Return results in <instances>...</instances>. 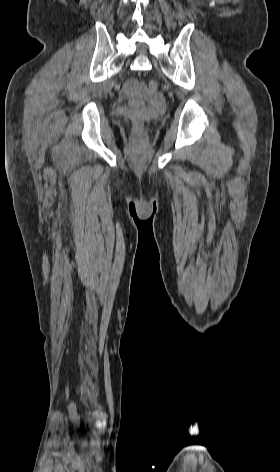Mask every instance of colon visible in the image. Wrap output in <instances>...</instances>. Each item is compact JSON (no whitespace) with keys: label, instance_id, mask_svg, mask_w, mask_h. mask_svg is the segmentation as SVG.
<instances>
[{"label":"colon","instance_id":"obj_1","mask_svg":"<svg viewBox=\"0 0 280 472\" xmlns=\"http://www.w3.org/2000/svg\"><path fill=\"white\" fill-rule=\"evenodd\" d=\"M158 88V84L156 81H150L148 83V89L150 91H156ZM134 131H135V134L138 136V137H142L144 135V123L140 120H138L136 123H135V126H134Z\"/></svg>","mask_w":280,"mask_h":472}]
</instances>
